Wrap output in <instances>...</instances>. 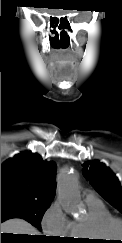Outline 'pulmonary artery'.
<instances>
[{"instance_id": "e3ab8cb5", "label": "pulmonary artery", "mask_w": 122, "mask_h": 243, "mask_svg": "<svg viewBox=\"0 0 122 243\" xmlns=\"http://www.w3.org/2000/svg\"><path fill=\"white\" fill-rule=\"evenodd\" d=\"M99 200L94 192H87L85 201H97Z\"/></svg>"}]
</instances>
